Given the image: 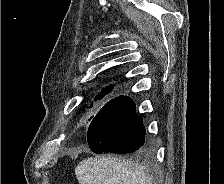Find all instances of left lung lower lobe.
<instances>
[{
    "instance_id": "0a47b994",
    "label": "left lung lower lobe",
    "mask_w": 224,
    "mask_h": 184,
    "mask_svg": "<svg viewBox=\"0 0 224 184\" xmlns=\"http://www.w3.org/2000/svg\"><path fill=\"white\" fill-rule=\"evenodd\" d=\"M145 127L136 115L134 102L125 96L107 102L88 128L90 149L101 153H133L150 148L145 141Z\"/></svg>"
}]
</instances>
